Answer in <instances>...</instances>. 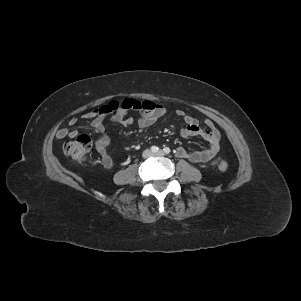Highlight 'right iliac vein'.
Segmentation results:
<instances>
[{
	"instance_id": "obj_1",
	"label": "right iliac vein",
	"mask_w": 301,
	"mask_h": 301,
	"mask_svg": "<svg viewBox=\"0 0 301 301\" xmlns=\"http://www.w3.org/2000/svg\"><path fill=\"white\" fill-rule=\"evenodd\" d=\"M151 155H152V153H151V151H149V150H146V151L144 152V154H143L144 157H149V156H151Z\"/></svg>"
}]
</instances>
